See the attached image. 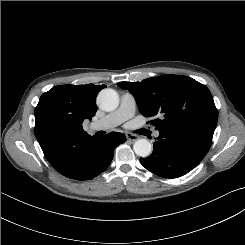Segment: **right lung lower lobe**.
Here are the masks:
<instances>
[{
	"label": "right lung lower lobe",
	"mask_w": 245,
	"mask_h": 245,
	"mask_svg": "<svg viewBox=\"0 0 245 245\" xmlns=\"http://www.w3.org/2000/svg\"><path fill=\"white\" fill-rule=\"evenodd\" d=\"M126 141L121 133L111 132L69 145L61 163L53 166L62 175L76 180L96 177L110 165L114 149Z\"/></svg>",
	"instance_id": "98d812e1"
}]
</instances>
